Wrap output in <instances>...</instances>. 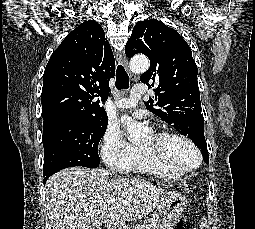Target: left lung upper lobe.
<instances>
[{"mask_svg":"<svg viewBox=\"0 0 255 229\" xmlns=\"http://www.w3.org/2000/svg\"><path fill=\"white\" fill-rule=\"evenodd\" d=\"M125 53L129 58L137 53L148 56L150 68L140 80L155 87L156 96L145 102L146 108L180 134L188 135L208 164L198 69L189 45L176 30L156 19H147L134 26Z\"/></svg>","mask_w":255,"mask_h":229,"instance_id":"left-lung-upper-lobe-1","label":"left lung upper lobe"}]
</instances>
